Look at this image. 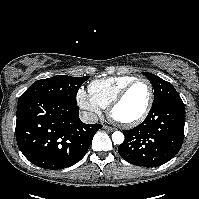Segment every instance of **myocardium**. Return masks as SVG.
<instances>
[{
	"instance_id": "obj_1",
	"label": "myocardium",
	"mask_w": 199,
	"mask_h": 199,
	"mask_svg": "<svg viewBox=\"0 0 199 199\" xmlns=\"http://www.w3.org/2000/svg\"><path fill=\"white\" fill-rule=\"evenodd\" d=\"M138 82H145V83H147V85L149 87V98H148V101H147L144 111L137 118H134L129 121H121V120L116 119L113 115L114 109L124 100L128 91ZM153 101H154V87H153L152 83L150 82V80L145 77L134 78L118 93V95L108 105L107 113H108V116L110 117V119L112 121H114L115 123H117L118 125H120L122 127H126V128L133 127V126L140 124L141 122H143L146 119V117L148 116V114L150 113V110L152 108Z\"/></svg>"
}]
</instances>
